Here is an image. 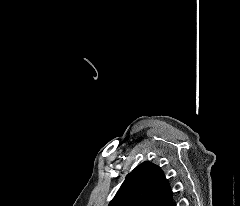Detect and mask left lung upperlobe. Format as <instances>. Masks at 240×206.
<instances>
[{
	"instance_id": "5c2ea615",
	"label": "left lung upper lobe",
	"mask_w": 240,
	"mask_h": 206,
	"mask_svg": "<svg viewBox=\"0 0 240 206\" xmlns=\"http://www.w3.org/2000/svg\"><path fill=\"white\" fill-rule=\"evenodd\" d=\"M172 189L160 167L143 162L126 176L108 206H173Z\"/></svg>"
}]
</instances>
